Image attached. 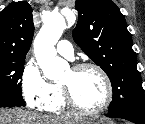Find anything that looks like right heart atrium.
<instances>
[{"mask_svg":"<svg viewBox=\"0 0 145 124\" xmlns=\"http://www.w3.org/2000/svg\"><path fill=\"white\" fill-rule=\"evenodd\" d=\"M21 90L25 101L35 109L48 107L53 102L52 84L45 80L34 60H29L23 68Z\"/></svg>","mask_w":145,"mask_h":124,"instance_id":"1","label":"right heart atrium"}]
</instances>
